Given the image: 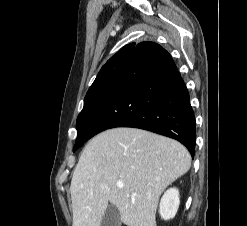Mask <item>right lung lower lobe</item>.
Returning <instances> with one entry per match:
<instances>
[{"label":"right lung lower lobe","mask_w":247,"mask_h":226,"mask_svg":"<svg viewBox=\"0 0 247 226\" xmlns=\"http://www.w3.org/2000/svg\"><path fill=\"white\" fill-rule=\"evenodd\" d=\"M195 125L187 88L171 55L156 43L142 42L131 51L92 137L115 127L140 128L178 140L194 157Z\"/></svg>","instance_id":"98d812e1"}]
</instances>
